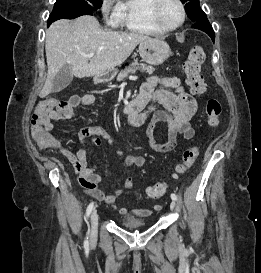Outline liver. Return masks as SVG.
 Here are the masks:
<instances>
[{
    "mask_svg": "<svg viewBox=\"0 0 261 273\" xmlns=\"http://www.w3.org/2000/svg\"><path fill=\"white\" fill-rule=\"evenodd\" d=\"M148 39L151 38L136 32L104 31L98 20L89 15L54 22L46 31L48 71L39 97L45 98L53 91V80L64 65H71L72 74L77 78L104 76L121 65L140 42ZM90 53L95 55L88 58Z\"/></svg>",
    "mask_w": 261,
    "mask_h": 273,
    "instance_id": "obj_1",
    "label": "liver"
}]
</instances>
